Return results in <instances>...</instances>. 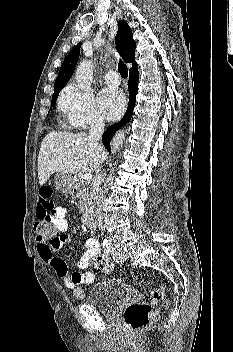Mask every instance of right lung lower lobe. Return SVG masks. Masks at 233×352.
Here are the masks:
<instances>
[{
  "mask_svg": "<svg viewBox=\"0 0 233 352\" xmlns=\"http://www.w3.org/2000/svg\"><path fill=\"white\" fill-rule=\"evenodd\" d=\"M138 80H139V73L138 70L130 72L129 76V82H128V89H129V103H128V108L127 111L122 118L120 122L117 124L110 126L106 129V131L103 133L102 136V142L106 149L111 153V148H110V141L114 135V133L120 129L122 126L127 124L133 114V109L135 106V101H136V94L138 90Z\"/></svg>",
  "mask_w": 233,
  "mask_h": 352,
  "instance_id": "obj_1",
  "label": "right lung lower lobe"
}]
</instances>
